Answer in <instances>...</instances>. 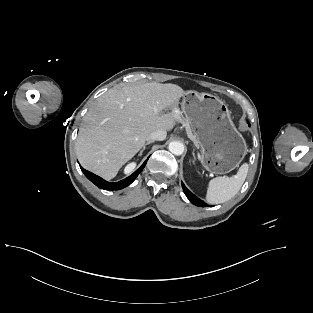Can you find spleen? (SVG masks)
Returning a JSON list of instances; mask_svg holds the SVG:
<instances>
[{"mask_svg": "<svg viewBox=\"0 0 313 313\" xmlns=\"http://www.w3.org/2000/svg\"><path fill=\"white\" fill-rule=\"evenodd\" d=\"M249 165H241L232 177H216L209 181L206 201L209 204H220L234 197L242 187L248 173Z\"/></svg>", "mask_w": 313, "mask_h": 313, "instance_id": "spleen-1", "label": "spleen"}]
</instances>
